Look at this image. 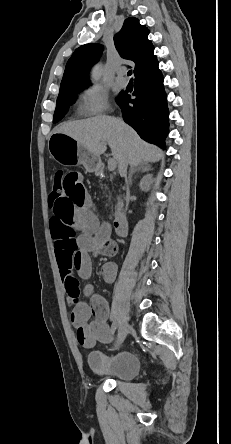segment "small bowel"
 I'll return each instance as SVG.
<instances>
[{
  "label": "small bowel",
  "mask_w": 231,
  "mask_h": 444,
  "mask_svg": "<svg viewBox=\"0 0 231 444\" xmlns=\"http://www.w3.org/2000/svg\"><path fill=\"white\" fill-rule=\"evenodd\" d=\"M66 194L50 199L53 216L50 230L55 246L63 288L68 296L71 322L80 345L91 348L96 343H109L113 334L108 324L109 306L92 286H87V301L80 298L77 274L88 279L92 272V256H113L116 244L109 239L107 228H100L83 183V175L69 172L64 181ZM103 279L111 283L116 266L108 263L101 270Z\"/></svg>",
  "instance_id": "small-bowel-1"
}]
</instances>
